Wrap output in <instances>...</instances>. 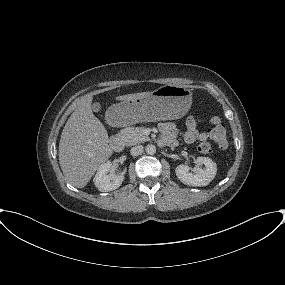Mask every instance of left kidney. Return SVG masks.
I'll return each instance as SVG.
<instances>
[{
	"label": "left kidney",
	"instance_id": "obj_1",
	"mask_svg": "<svg viewBox=\"0 0 285 285\" xmlns=\"http://www.w3.org/2000/svg\"><path fill=\"white\" fill-rule=\"evenodd\" d=\"M199 165H205V169L195 168L194 173L190 172L187 165L181 164L176 167V176L184 184L189 186H206L214 178L217 172V165L208 157H197Z\"/></svg>",
	"mask_w": 285,
	"mask_h": 285
}]
</instances>
